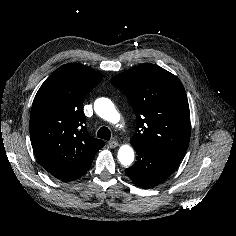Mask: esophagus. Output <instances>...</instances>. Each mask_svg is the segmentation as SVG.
Segmentation results:
<instances>
[{"mask_svg":"<svg viewBox=\"0 0 236 236\" xmlns=\"http://www.w3.org/2000/svg\"><path fill=\"white\" fill-rule=\"evenodd\" d=\"M108 145H109L110 148H115V147L118 146V142L117 141H110L108 143Z\"/></svg>","mask_w":236,"mask_h":236,"instance_id":"esophagus-1","label":"esophagus"}]
</instances>
